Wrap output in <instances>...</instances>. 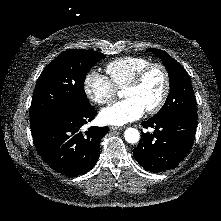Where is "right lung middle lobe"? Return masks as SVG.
Returning a JSON list of instances; mask_svg holds the SVG:
<instances>
[{
    "mask_svg": "<svg viewBox=\"0 0 221 221\" xmlns=\"http://www.w3.org/2000/svg\"><path fill=\"white\" fill-rule=\"evenodd\" d=\"M104 54L71 49L58 55L39 76L31 106L30 125L53 113L64 110H85L90 107L84 91V81L89 69Z\"/></svg>",
    "mask_w": 221,
    "mask_h": 221,
    "instance_id": "dd1d6c3e",
    "label": "right lung middle lobe"
}]
</instances>
